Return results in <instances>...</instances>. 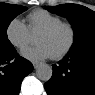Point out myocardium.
I'll return each mask as SVG.
<instances>
[{"mask_svg":"<svg viewBox=\"0 0 95 95\" xmlns=\"http://www.w3.org/2000/svg\"><path fill=\"white\" fill-rule=\"evenodd\" d=\"M61 28L68 29V31L70 33V39H69L67 46L61 52L51 56L55 60L64 58L72 50V48L75 44V41H76V30H75L74 26L68 22H60V23L52 25L48 28H45L39 32V33L50 35V34L55 33L57 30H59Z\"/></svg>","mask_w":95,"mask_h":95,"instance_id":"myocardium-1","label":"myocardium"}]
</instances>
